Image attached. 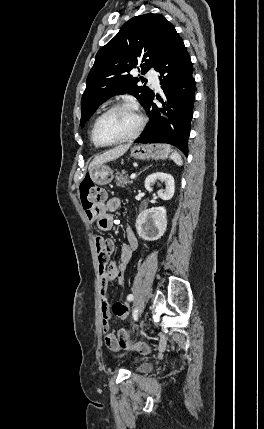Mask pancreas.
<instances>
[{
  "instance_id": "cf45deb5",
  "label": "pancreas",
  "mask_w": 264,
  "mask_h": 429,
  "mask_svg": "<svg viewBox=\"0 0 264 429\" xmlns=\"http://www.w3.org/2000/svg\"><path fill=\"white\" fill-rule=\"evenodd\" d=\"M115 178H116V185L117 186L125 187V185L132 183L128 179V174L125 171L118 173Z\"/></svg>"
}]
</instances>
